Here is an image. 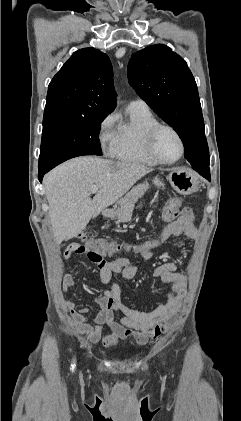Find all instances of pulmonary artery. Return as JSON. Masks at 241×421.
Listing matches in <instances>:
<instances>
[{
    "instance_id": "pulmonary-artery-1",
    "label": "pulmonary artery",
    "mask_w": 241,
    "mask_h": 421,
    "mask_svg": "<svg viewBox=\"0 0 241 421\" xmlns=\"http://www.w3.org/2000/svg\"><path fill=\"white\" fill-rule=\"evenodd\" d=\"M129 107L148 108V105L142 99H134L129 103Z\"/></svg>"
}]
</instances>
